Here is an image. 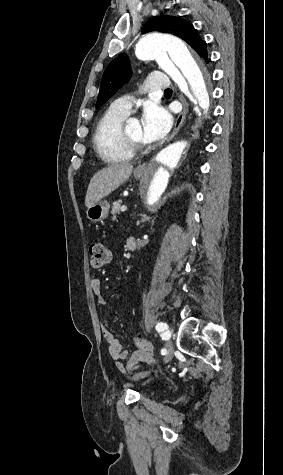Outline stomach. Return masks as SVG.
<instances>
[{"label": "stomach", "mask_w": 283, "mask_h": 475, "mask_svg": "<svg viewBox=\"0 0 283 475\" xmlns=\"http://www.w3.org/2000/svg\"><path fill=\"white\" fill-rule=\"evenodd\" d=\"M149 168H147L146 172H136L134 170V176L137 178V180H140V178H145V176H149ZM109 204L107 200H101V202H96L94 206H90V208H87V218L92 222V224H95V222H101V220H105L109 214Z\"/></svg>", "instance_id": "stomach-1"}]
</instances>
